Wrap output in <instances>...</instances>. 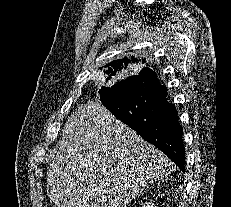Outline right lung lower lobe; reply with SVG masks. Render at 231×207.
<instances>
[{
  "mask_svg": "<svg viewBox=\"0 0 231 207\" xmlns=\"http://www.w3.org/2000/svg\"><path fill=\"white\" fill-rule=\"evenodd\" d=\"M123 81L100 96L102 104L185 172L183 130L175 106L167 100V88L150 68Z\"/></svg>",
  "mask_w": 231,
  "mask_h": 207,
  "instance_id": "1",
  "label": "right lung lower lobe"
}]
</instances>
